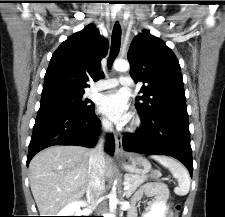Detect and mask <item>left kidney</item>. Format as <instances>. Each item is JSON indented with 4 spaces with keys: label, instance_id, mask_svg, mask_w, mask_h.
Wrapping results in <instances>:
<instances>
[{
    "label": "left kidney",
    "instance_id": "left-kidney-1",
    "mask_svg": "<svg viewBox=\"0 0 225 217\" xmlns=\"http://www.w3.org/2000/svg\"><path fill=\"white\" fill-rule=\"evenodd\" d=\"M167 207L165 203L159 202L153 204L150 211L146 213L143 217H165V212Z\"/></svg>",
    "mask_w": 225,
    "mask_h": 217
}]
</instances>
